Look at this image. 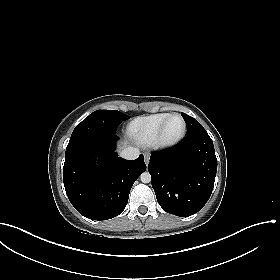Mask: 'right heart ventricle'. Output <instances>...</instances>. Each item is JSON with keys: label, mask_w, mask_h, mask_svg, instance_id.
<instances>
[{"label": "right heart ventricle", "mask_w": 280, "mask_h": 280, "mask_svg": "<svg viewBox=\"0 0 280 280\" xmlns=\"http://www.w3.org/2000/svg\"><path fill=\"white\" fill-rule=\"evenodd\" d=\"M169 115L170 113L163 112L138 117L130 123L128 131L138 143L149 145L153 143L162 122Z\"/></svg>", "instance_id": "obj_1"}]
</instances>
